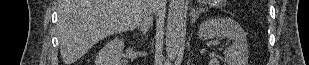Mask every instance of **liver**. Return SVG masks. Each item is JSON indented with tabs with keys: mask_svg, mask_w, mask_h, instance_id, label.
Returning <instances> with one entry per match:
<instances>
[{
	"mask_svg": "<svg viewBox=\"0 0 309 65\" xmlns=\"http://www.w3.org/2000/svg\"><path fill=\"white\" fill-rule=\"evenodd\" d=\"M150 0H58V37L65 65L98 41L135 29Z\"/></svg>",
	"mask_w": 309,
	"mask_h": 65,
	"instance_id": "6515ba94",
	"label": "liver"
}]
</instances>
